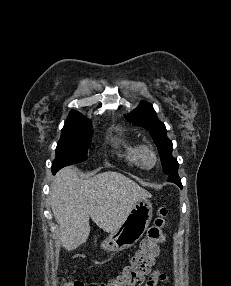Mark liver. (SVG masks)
Wrapping results in <instances>:
<instances>
[{"label":"liver","mask_w":231,"mask_h":286,"mask_svg":"<svg viewBox=\"0 0 231 286\" xmlns=\"http://www.w3.org/2000/svg\"><path fill=\"white\" fill-rule=\"evenodd\" d=\"M149 197L148 191L118 172L81 180L74 168L61 169L51 185L50 204L63 247L71 251L87 241L90 217L102 230L116 231L134 205Z\"/></svg>","instance_id":"obj_1"}]
</instances>
